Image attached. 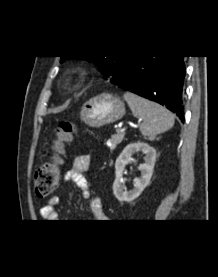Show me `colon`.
I'll list each match as a JSON object with an SVG mask.
<instances>
[{
	"mask_svg": "<svg viewBox=\"0 0 218 277\" xmlns=\"http://www.w3.org/2000/svg\"><path fill=\"white\" fill-rule=\"evenodd\" d=\"M75 131L70 121L59 123L52 141V156L49 162L42 164L35 172V192L39 198L49 196L57 187L60 179L62 155L67 144L72 140Z\"/></svg>",
	"mask_w": 218,
	"mask_h": 277,
	"instance_id": "1",
	"label": "colon"
}]
</instances>
